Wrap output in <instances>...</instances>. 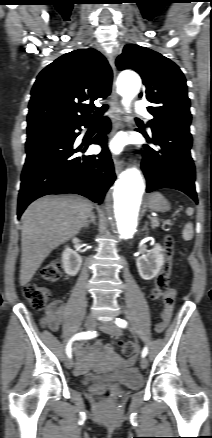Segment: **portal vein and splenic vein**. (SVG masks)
Listing matches in <instances>:
<instances>
[{
  "mask_svg": "<svg viewBox=\"0 0 212 438\" xmlns=\"http://www.w3.org/2000/svg\"><path fill=\"white\" fill-rule=\"evenodd\" d=\"M163 223L168 225V224H170V220H163Z\"/></svg>",
  "mask_w": 212,
  "mask_h": 438,
  "instance_id": "18ae733b",
  "label": "portal vein and splenic vein"
}]
</instances>
